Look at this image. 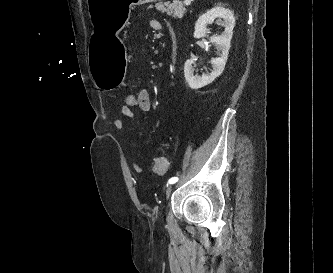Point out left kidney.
Returning a JSON list of instances; mask_svg holds the SVG:
<instances>
[{
    "mask_svg": "<svg viewBox=\"0 0 333 273\" xmlns=\"http://www.w3.org/2000/svg\"><path fill=\"white\" fill-rule=\"evenodd\" d=\"M215 19L217 23H222L225 27L224 32L220 36L210 37L211 43L215 44L221 51L219 57L211 59L213 71L209 74L198 76L194 74V66L192 60H187L184 65V76L186 82L191 89H199L212 83L218 76H220L225 68L228 53L230 49V42L233 35L235 26V18L233 12L221 6H216L205 14L201 15L195 24L194 38L205 37L209 30L207 25L211 24Z\"/></svg>",
    "mask_w": 333,
    "mask_h": 273,
    "instance_id": "1",
    "label": "left kidney"
}]
</instances>
